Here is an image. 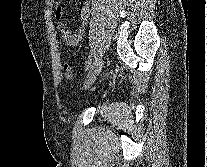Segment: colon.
Here are the masks:
<instances>
[{"label":"colon","instance_id":"colon-1","mask_svg":"<svg viewBox=\"0 0 207 167\" xmlns=\"http://www.w3.org/2000/svg\"><path fill=\"white\" fill-rule=\"evenodd\" d=\"M63 72H64V76L67 79H73L76 75L75 70L73 69V67L69 64H65L63 67Z\"/></svg>","mask_w":207,"mask_h":167}]
</instances>
